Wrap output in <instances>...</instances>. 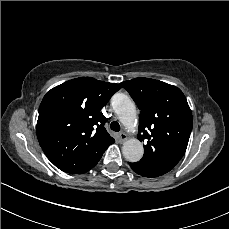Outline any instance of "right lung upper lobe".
I'll use <instances>...</instances> for the list:
<instances>
[{
  "label": "right lung upper lobe",
  "instance_id": "obj_1",
  "mask_svg": "<svg viewBox=\"0 0 229 229\" xmlns=\"http://www.w3.org/2000/svg\"><path fill=\"white\" fill-rule=\"evenodd\" d=\"M121 88L91 77L51 89L39 107L37 137L47 158L60 170L85 173L115 142L104 128L101 109Z\"/></svg>",
  "mask_w": 229,
  "mask_h": 229
}]
</instances>
